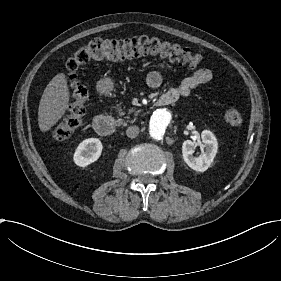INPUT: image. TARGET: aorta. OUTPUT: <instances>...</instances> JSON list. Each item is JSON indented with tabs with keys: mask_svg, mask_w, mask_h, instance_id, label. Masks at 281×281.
I'll return each mask as SVG.
<instances>
[{
	"mask_svg": "<svg viewBox=\"0 0 281 281\" xmlns=\"http://www.w3.org/2000/svg\"><path fill=\"white\" fill-rule=\"evenodd\" d=\"M171 113L167 109H157L150 120V135L158 140L163 136L170 126Z\"/></svg>",
	"mask_w": 281,
	"mask_h": 281,
	"instance_id": "1",
	"label": "aorta"
}]
</instances>
